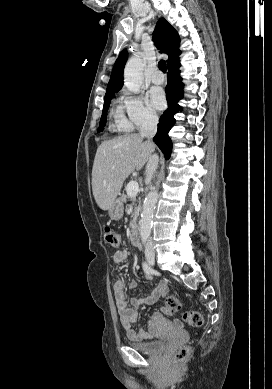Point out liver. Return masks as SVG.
<instances>
[{
  "label": "liver",
  "mask_w": 272,
  "mask_h": 389,
  "mask_svg": "<svg viewBox=\"0 0 272 389\" xmlns=\"http://www.w3.org/2000/svg\"><path fill=\"white\" fill-rule=\"evenodd\" d=\"M155 145L138 134L103 141L92 169V191L97 205L108 210L120 193L125 179L149 160Z\"/></svg>",
  "instance_id": "1"
}]
</instances>
